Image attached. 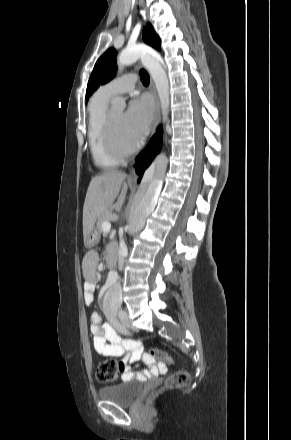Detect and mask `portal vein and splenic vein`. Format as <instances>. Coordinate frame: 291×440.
I'll return each instance as SVG.
<instances>
[{"instance_id": "obj_1", "label": "portal vein and splenic vein", "mask_w": 291, "mask_h": 440, "mask_svg": "<svg viewBox=\"0 0 291 440\" xmlns=\"http://www.w3.org/2000/svg\"><path fill=\"white\" fill-rule=\"evenodd\" d=\"M110 229H111V224H110L109 222L105 221V222L102 224V230H103V232H104V233H107V232L110 231Z\"/></svg>"}]
</instances>
